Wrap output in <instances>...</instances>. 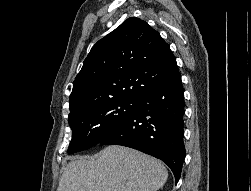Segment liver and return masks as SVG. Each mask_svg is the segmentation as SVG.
Returning <instances> with one entry per match:
<instances>
[{"instance_id":"liver-1","label":"liver","mask_w":251,"mask_h":191,"mask_svg":"<svg viewBox=\"0 0 251 191\" xmlns=\"http://www.w3.org/2000/svg\"><path fill=\"white\" fill-rule=\"evenodd\" d=\"M162 161L122 145H108L93 157H74L57 191H157L167 181Z\"/></svg>"}]
</instances>
